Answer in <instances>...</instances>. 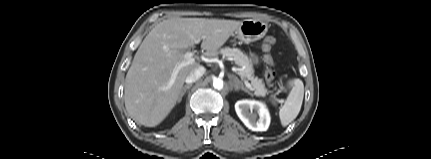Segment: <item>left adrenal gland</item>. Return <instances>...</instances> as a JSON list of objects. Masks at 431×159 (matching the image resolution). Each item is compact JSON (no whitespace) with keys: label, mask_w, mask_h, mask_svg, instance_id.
<instances>
[{"label":"left adrenal gland","mask_w":431,"mask_h":159,"mask_svg":"<svg viewBox=\"0 0 431 159\" xmlns=\"http://www.w3.org/2000/svg\"><path fill=\"white\" fill-rule=\"evenodd\" d=\"M231 87L234 88L235 91L243 90L244 92L248 93L249 95H253L247 88L244 87L243 83L236 77H233V81L230 83Z\"/></svg>","instance_id":"obj_1"}]
</instances>
